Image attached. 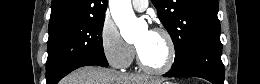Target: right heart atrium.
I'll list each match as a JSON object with an SVG mask.
<instances>
[{"label":"right heart atrium","mask_w":260,"mask_h":84,"mask_svg":"<svg viewBox=\"0 0 260 84\" xmlns=\"http://www.w3.org/2000/svg\"><path fill=\"white\" fill-rule=\"evenodd\" d=\"M99 38L102 54L112 67L124 69L132 63L135 49L124 40L111 17L103 20Z\"/></svg>","instance_id":"1"}]
</instances>
